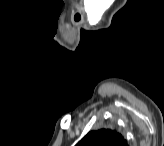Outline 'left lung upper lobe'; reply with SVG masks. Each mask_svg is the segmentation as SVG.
I'll list each match as a JSON object with an SVG mask.
<instances>
[{
  "label": "left lung upper lobe",
  "mask_w": 164,
  "mask_h": 146,
  "mask_svg": "<svg viewBox=\"0 0 164 146\" xmlns=\"http://www.w3.org/2000/svg\"><path fill=\"white\" fill-rule=\"evenodd\" d=\"M76 146H127V141L115 130L100 129L88 132Z\"/></svg>",
  "instance_id": "1"
}]
</instances>
